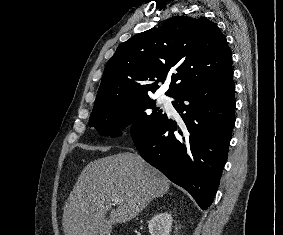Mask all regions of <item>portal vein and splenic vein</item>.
Masks as SVG:
<instances>
[{
    "instance_id": "18ae733b",
    "label": "portal vein and splenic vein",
    "mask_w": 283,
    "mask_h": 235,
    "mask_svg": "<svg viewBox=\"0 0 283 235\" xmlns=\"http://www.w3.org/2000/svg\"><path fill=\"white\" fill-rule=\"evenodd\" d=\"M113 202H114V204H117V203H119L120 202V200L118 199V198H113V200H112Z\"/></svg>"
}]
</instances>
